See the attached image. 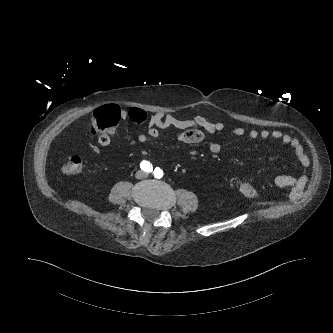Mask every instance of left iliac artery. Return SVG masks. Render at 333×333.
Segmentation results:
<instances>
[{
    "mask_svg": "<svg viewBox=\"0 0 333 333\" xmlns=\"http://www.w3.org/2000/svg\"><path fill=\"white\" fill-rule=\"evenodd\" d=\"M153 173H154V176L157 177V178H161L163 176V171L159 167H156L154 169Z\"/></svg>",
    "mask_w": 333,
    "mask_h": 333,
    "instance_id": "obj_1",
    "label": "left iliac artery"
}]
</instances>
